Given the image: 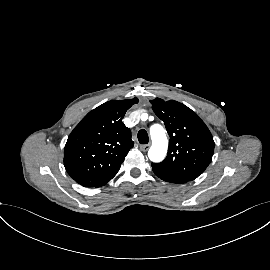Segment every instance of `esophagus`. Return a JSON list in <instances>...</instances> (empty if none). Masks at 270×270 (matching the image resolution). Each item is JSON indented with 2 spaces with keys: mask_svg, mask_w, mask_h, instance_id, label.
Instances as JSON below:
<instances>
[{
  "mask_svg": "<svg viewBox=\"0 0 270 270\" xmlns=\"http://www.w3.org/2000/svg\"><path fill=\"white\" fill-rule=\"evenodd\" d=\"M150 147V144H145V145H140V150L141 151H147Z\"/></svg>",
  "mask_w": 270,
  "mask_h": 270,
  "instance_id": "34e87169",
  "label": "esophagus"
}]
</instances>
